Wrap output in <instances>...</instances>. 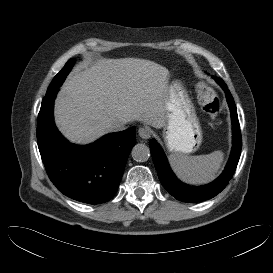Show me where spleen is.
<instances>
[{
    "mask_svg": "<svg viewBox=\"0 0 273 273\" xmlns=\"http://www.w3.org/2000/svg\"><path fill=\"white\" fill-rule=\"evenodd\" d=\"M223 152L214 151L207 155L187 156L171 154L170 164L177 177L185 183L198 185L215 178L223 161Z\"/></svg>",
    "mask_w": 273,
    "mask_h": 273,
    "instance_id": "3e777b00",
    "label": "spleen"
}]
</instances>
